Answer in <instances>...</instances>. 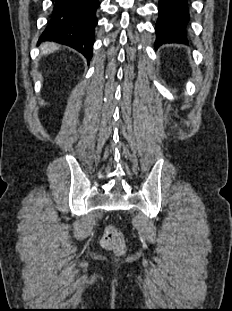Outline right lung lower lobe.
I'll list each match as a JSON object with an SVG mask.
<instances>
[{
  "label": "right lung lower lobe",
  "instance_id": "obj_1",
  "mask_svg": "<svg viewBox=\"0 0 232 311\" xmlns=\"http://www.w3.org/2000/svg\"><path fill=\"white\" fill-rule=\"evenodd\" d=\"M99 6V0H55L50 22L39 43L53 41L64 44L90 60Z\"/></svg>",
  "mask_w": 232,
  "mask_h": 311
}]
</instances>
